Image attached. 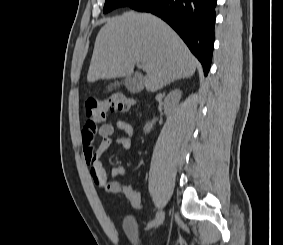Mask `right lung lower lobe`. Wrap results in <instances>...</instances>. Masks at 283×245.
Here are the masks:
<instances>
[{
	"label": "right lung lower lobe",
	"instance_id": "obj_1",
	"mask_svg": "<svg viewBox=\"0 0 283 245\" xmlns=\"http://www.w3.org/2000/svg\"><path fill=\"white\" fill-rule=\"evenodd\" d=\"M217 0H141L132 9L151 12L166 21L202 63L207 75L214 44Z\"/></svg>",
	"mask_w": 283,
	"mask_h": 245
}]
</instances>
